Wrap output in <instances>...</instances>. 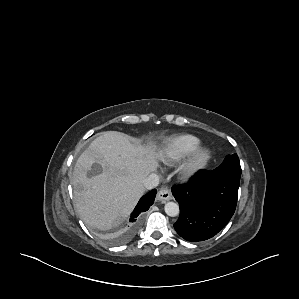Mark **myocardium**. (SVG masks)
I'll return each instance as SVG.
<instances>
[{
    "mask_svg": "<svg viewBox=\"0 0 299 299\" xmlns=\"http://www.w3.org/2000/svg\"><path fill=\"white\" fill-rule=\"evenodd\" d=\"M211 158V151L206 147L196 149L184 164L182 174L185 178H192L203 170Z\"/></svg>",
    "mask_w": 299,
    "mask_h": 299,
    "instance_id": "myocardium-1",
    "label": "myocardium"
}]
</instances>
